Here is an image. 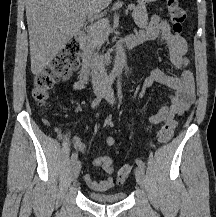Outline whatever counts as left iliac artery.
Instances as JSON below:
<instances>
[{"mask_svg": "<svg viewBox=\"0 0 216 217\" xmlns=\"http://www.w3.org/2000/svg\"><path fill=\"white\" fill-rule=\"evenodd\" d=\"M117 91H118L119 99L122 101L123 94H122V90H121L120 77L118 78V81H117ZM136 164L138 165V167H142L143 169L145 168V163L140 159H136Z\"/></svg>", "mask_w": 216, "mask_h": 217, "instance_id": "obj_1", "label": "left iliac artery"}]
</instances>
